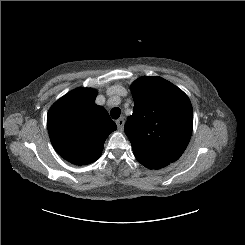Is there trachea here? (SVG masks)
Wrapping results in <instances>:
<instances>
[{
	"instance_id": "trachea-1",
	"label": "trachea",
	"mask_w": 245,
	"mask_h": 245,
	"mask_svg": "<svg viewBox=\"0 0 245 245\" xmlns=\"http://www.w3.org/2000/svg\"><path fill=\"white\" fill-rule=\"evenodd\" d=\"M110 114L113 119H118L120 117L121 110L118 107H115L111 110Z\"/></svg>"
}]
</instances>
